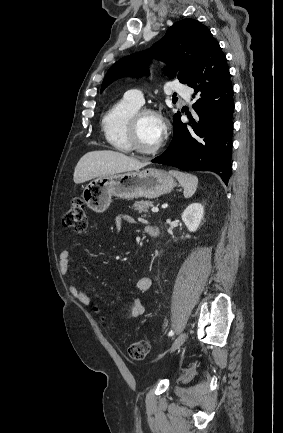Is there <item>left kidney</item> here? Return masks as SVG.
I'll return each mask as SVG.
<instances>
[{
    "label": "left kidney",
    "mask_w": 283,
    "mask_h": 433,
    "mask_svg": "<svg viewBox=\"0 0 283 433\" xmlns=\"http://www.w3.org/2000/svg\"><path fill=\"white\" fill-rule=\"evenodd\" d=\"M204 216V207L200 203H193L183 211L181 218L190 232H195Z\"/></svg>",
    "instance_id": "5707ae66"
}]
</instances>
